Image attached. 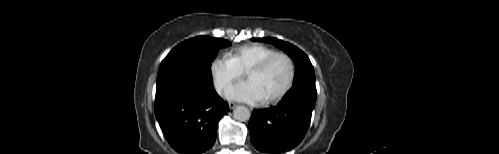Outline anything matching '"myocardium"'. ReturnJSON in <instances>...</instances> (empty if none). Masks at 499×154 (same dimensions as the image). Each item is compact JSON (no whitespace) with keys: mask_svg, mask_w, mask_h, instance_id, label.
<instances>
[{"mask_svg":"<svg viewBox=\"0 0 499 154\" xmlns=\"http://www.w3.org/2000/svg\"><path fill=\"white\" fill-rule=\"evenodd\" d=\"M276 58H283L287 62L288 69H289V74H288V79H287L286 84L283 87V89L278 94H276L275 96L264 100V102L267 103V104H272V103L279 102L290 91V89H291V87L293 85V82H294V78H295V65H294L293 59L291 58L290 55H288L285 52H274V53L268 55L267 57H265L264 59L260 60L256 64L252 65L246 71V74L249 73V72H260V71H263Z\"/></svg>","mask_w":499,"mask_h":154,"instance_id":"f54148a6","label":"myocardium"}]
</instances>
